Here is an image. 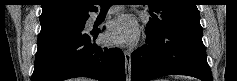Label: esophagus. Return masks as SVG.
Listing matches in <instances>:
<instances>
[{
  "instance_id": "esophagus-1",
  "label": "esophagus",
  "mask_w": 237,
  "mask_h": 81,
  "mask_svg": "<svg viewBox=\"0 0 237 81\" xmlns=\"http://www.w3.org/2000/svg\"><path fill=\"white\" fill-rule=\"evenodd\" d=\"M124 57H125L126 79L127 81H130L131 79V52L128 50H125Z\"/></svg>"
}]
</instances>
